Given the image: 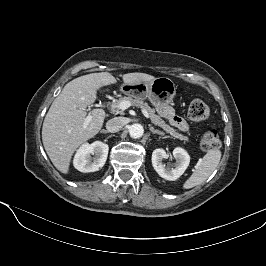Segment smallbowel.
<instances>
[{"label":"small bowel","mask_w":266,"mask_h":266,"mask_svg":"<svg viewBox=\"0 0 266 266\" xmlns=\"http://www.w3.org/2000/svg\"><path fill=\"white\" fill-rule=\"evenodd\" d=\"M160 113L163 117L169 120V122L181 131L188 130V124L180 116L176 115L171 107L164 106L160 108Z\"/></svg>","instance_id":"1"}]
</instances>
